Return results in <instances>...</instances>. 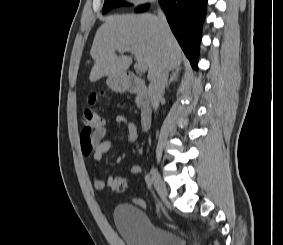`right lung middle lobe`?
I'll list each match as a JSON object with an SVG mask.
<instances>
[{
	"instance_id": "1",
	"label": "right lung middle lobe",
	"mask_w": 283,
	"mask_h": 245,
	"mask_svg": "<svg viewBox=\"0 0 283 245\" xmlns=\"http://www.w3.org/2000/svg\"><path fill=\"white\" fill-rule=\"evenodd\" d=\"M123 5H128V4L125 3L123 0H105L102 13H106L115 7L123 6Z\"/></svg>"
}]
</instances>
